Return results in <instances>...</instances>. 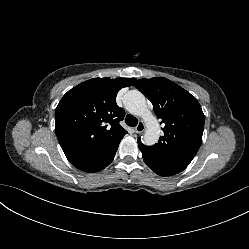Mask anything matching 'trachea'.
Wrapping results in <instances>:
<instances>
[{
	"label": "trachea",
	"instance_id": "3493384b",
	"mask_svg": "<svg viewBox=\"0 0 249 249\" xmlns=\"http://www.w3.org/2000/svg\"><path fill=\"white\" fill-rule=\"evenodd\" d=\"M125 122L128 126L135 127L138 123V120L134 116L128 114L125 118Z\"/></svg>",
	"mask_w": 249,
	"mask_h": 249
}]
</instances>
